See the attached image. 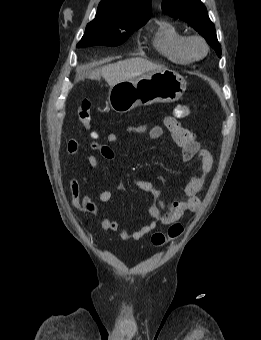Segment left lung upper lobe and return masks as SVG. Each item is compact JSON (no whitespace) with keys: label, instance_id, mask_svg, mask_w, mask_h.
<instances>
[{"label":"left lung upper lobe","instance_id":"left-lung-upper-lobe-1","mask_svg":"<svg viewBox=\"0 0 261 340\" xmlns=\"http://www.w3.org/2000/svg\"><path fill=\"white\" fill-rule=\"evenodd\" d=\"M162 10L172 17L186 21L206 39L217 55L221 56V45L217 40L215 26L200 0H163Z\"/></svg>","mask_w":261,"mask_h":340}]
</instances>
